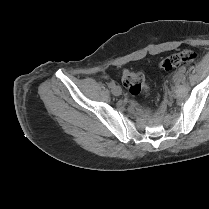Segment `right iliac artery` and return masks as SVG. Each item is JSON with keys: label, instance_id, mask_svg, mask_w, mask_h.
<instances>
[{"label": "right iliac artery", "instance_id": "1", "mask_svg": "<svg viewBox=\"0 0 209 209\" xmlns=\"http://www.w3.org/2000/svg\"><path fill=\"white\" fill-rule=\"evenodd\" d=\"M115 86V81H111L110 83H109V87L110 88H113Z\"/></svg>", "mask_w": 209, "mask_h": 209}]
</instances>
